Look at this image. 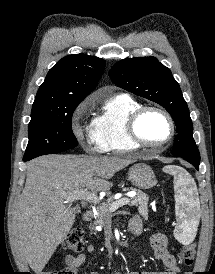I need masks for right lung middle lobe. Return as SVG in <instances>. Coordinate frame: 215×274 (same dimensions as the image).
<instances>
[{"label":"right lung middle lobe","instance_id":"dd1d6c3e","mask_svg":"<svg viewBox=\"0 0 215 274\" xmlns=\"http://www.w3.org/2000/svg\"><path fill=\"white\" fill-rule=\"evenodd\" d=\"M80 102L33 103L29 142L23 159L56 154L77 145L71 118Z\"/></svg>","mask_w":215,"mask_h":274}]
</instances>
